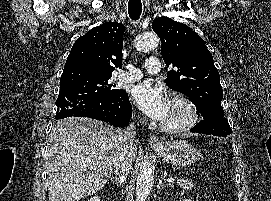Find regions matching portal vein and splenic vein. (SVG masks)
<instances>
[{
	"instance_id": "1",
	"label": "portal vein and splenic vein",
	"mask_w": 271,
	"mask_h": 201,
	"mask_svg": "<svg viewBox=\"0 0 271 201\" xmlns=\"http://www.w3.org/2000/svg\"><path fill=\"white\" fill-rule=\"evenodd\" d=\"M167 181H168V182H174V181H175V178H168Z\"/></svg>"
}]
</instances>
